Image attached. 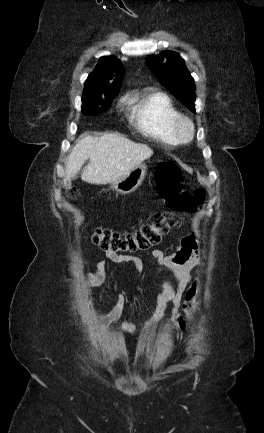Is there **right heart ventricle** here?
Masks as SVG:
<instances>
[{"instance_id": "1", "label": "right heart ventricle", "mask_w": 264, "mask_h": 433, "mask_svg": "<svg viewBox=\"0 0 264 433\" xmlns=\"http://www.w3.org/2000/svg\"><path fill=\"white\" fill-rule=\"evenodd\" d=\"M126 103L130 123L137 131L166 145L179 143L173 134L172 124L180 113L167 94L144 91L129 95Z\"/></svg>"}]
</instances>
